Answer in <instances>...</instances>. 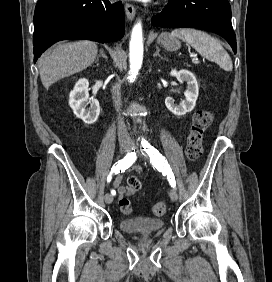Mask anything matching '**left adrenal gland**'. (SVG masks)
Instances as JSON below:
<instances>
[{"label":"left adrenal gland","instance_id":"a2214340","mask_svg":"<svg viewBox=\"0 0 272 282\" xmlns=\"http://www.w3.org/2000/svg\"><path fill=\"white\" fill-rule=\"evenodd\" d=\"M153 57H159V58H161V59L168 60L167 58L163 57V56L160 54V48H159V47H156V52L153 54Z\"/></svg>","mask_w":272,"mask_h":282}]
</instances>
